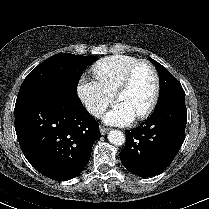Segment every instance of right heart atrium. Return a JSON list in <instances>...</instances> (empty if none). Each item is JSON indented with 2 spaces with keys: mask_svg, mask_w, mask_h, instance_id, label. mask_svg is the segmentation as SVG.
Masks as SVG:
<instances>
[{
  "mask_svg": "<svg viewBox=\"0 0 209 209\" xmlns=\"http://www.w3.org/2000/svg\"><path fill=\"white\" fill-rule=\"evenodd\" d=\"M78 94L86 109L93 116H100L114 98L100 81L83 75L78 83Z\"/></svg>",
  "mask_w": 209,
  "mask_h": 209,
  "instance_id": "obj_1",
  "label": "right heart atrium"
}]
</instances>
